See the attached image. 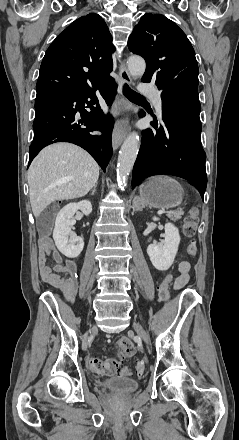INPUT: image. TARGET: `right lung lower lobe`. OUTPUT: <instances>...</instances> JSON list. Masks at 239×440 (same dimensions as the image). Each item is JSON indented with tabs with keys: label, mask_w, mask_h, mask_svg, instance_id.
I'll use <instances>...</instances> for the list:
<instances>
[{
	"label": "right lung lower lobe",
	"mask_w": 239,
	"mask_h": 440,
	"mask_svg": "<svg viewBox=\"0 0 239 440\" xmlns=\"http://www.w3.org/2000/svg\"><path fill=\"white\" fill-rule=\"evenodd\" d=\"M97 89L106 103L111 105L117 89L112 77L87 89L37 94L29 164L45 146L64 141L87 150L105 172L112 155L113 118L110 115L104 118L95 94ZM85 104H88L91 112L85 110ZM77 112H80L81 119ZM93 130H100L103 135H92Z\"/></svg>",
	"instance_id": "obj_1"
}]
</instances>
